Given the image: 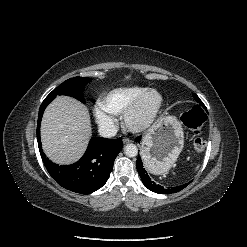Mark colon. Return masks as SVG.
Segmentation results:
<instances>
[{
  "mask_svg": "<svg viewBox=\"0 0 247 247\" xmlns=\"http://www.w3.org/2000/svg\"><path fill=\"white\" fill-rule=\"evenodd\" d=\"M182 122L195 133L194 150L196 152H203L206 148V142L201 137V129L205 123L204 112L200 108H192L183 113Z\"/></svg>",
  "mask_w": 247,
  "mask_h": 247,
  "instance_id": "colon-1",
  "label": "colon"
}]
</instances>
